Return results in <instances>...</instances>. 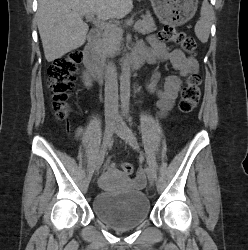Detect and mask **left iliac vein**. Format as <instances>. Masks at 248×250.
Listing matches in <instances>:
<instances>
[{"mask_svg": "<svg viewBox=\"0 0 248 250\" xmlns=\"http://www.w3.org/2000/svg\"><path fill=\"white\" fill-rule=\"evenodd\" d=\"M115 133L119 135L126 143H128L131 148L136 151L139 150L138 142L132 130L128 127L126 123L122 121L120 117L116 118ZM146 174L149 183L153 185L155 181V174L150 167H146Z\"/></svg>", "mask_w": 248, "mask_h": 250, "instance_id": "1", "label": "left iliac vein"}]
</instances>
